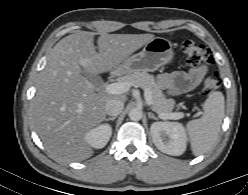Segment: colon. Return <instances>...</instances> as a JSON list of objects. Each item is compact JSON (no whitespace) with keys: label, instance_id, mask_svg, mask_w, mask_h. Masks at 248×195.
I'll return each instance as SVG.
<instances>
[{"label":"colon","instance_id":"1","mask_svg":"<svg viewBox=\"0 0 248 195\" xmlns=\"http://www.w3.org/2000/svg\"><path fill=\"white\" fill-rule=\"evenodd\" d=\"M182 51L185 61L191 67H203L214 63L212 52L204 45L198 44L192 40H186L182 44ZM221 78L217 73L207 76L202 85V95L209 96L219 88Z\"/></svg>","mask_w":248,"mask_h":195}]
</instances>
